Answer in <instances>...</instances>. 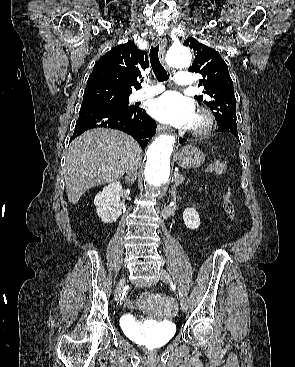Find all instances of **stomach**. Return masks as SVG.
<instances>
[{"instance_id":"stomach-1","label":"stomach","mask_w":295,"mask_h":367,"mask_svg":"<svg viewBox=\"0 0 295 367\" xmlns=\"http://www.w3.org/2000/svg\"><path fill=\"white\" fill-rule=\"evenodd\" d=\"M205 154L195 146L186 145L174 156L176 163L184 169H195L205 162Z\"/></svg>"}]
</instances>
